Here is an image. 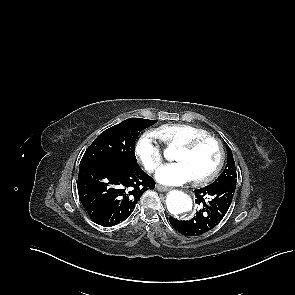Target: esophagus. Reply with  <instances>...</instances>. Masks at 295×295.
Returning <instances> with one entry per match:
<instances>
[{
  "mask_svg": "<svg viewBox=\"0 0 295 295\" xmlns=\"http://www.w3.org/2000/svg\"><path fill=\"white\" fill-rule=\"evenodd\" d=\"M156 189L160 192H165V191H168V188L165 187V186H161V185H157L156 186Z\"/></svg>",
  "mask_w": 295,
  "mask_h": 295,
  "instance_id": "obj_1",
  "label": "esophagus"
}]
</instances>
